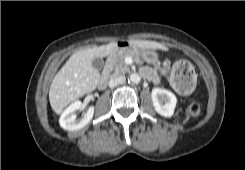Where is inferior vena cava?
<instances>
[{"label":"inferior vena cava","mask_w":245,"mask_h":170,"mask_svg":"<svg viewBox=\"0 0 245 170\" xmlns=\"http://www.w3.org/2000/svg\"><path fill=\"white\" fill-rule=\"evenodd\" d=\"M125 81H126L125 76H115V77H112L110 79V81H109V87L110 88L116 87L119 84L125 83Z\"/></svg>","instance_id":"1"}]
</instances>
